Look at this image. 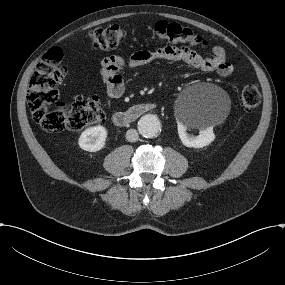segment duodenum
Wrapping results in <instances>:
<instances>
[{"label": "duodenum", "instance_id": "obj_1", "mask_svg": "<svg viewBox=\"0 0 285 285\" xmlns=\"http://www.w3.org/2000/svg\"><path fill=\"white\" fill-rule=\"evenodd\" d=\"M157 108L155 103H137L130 106L127 110L118 111L113 114V123L118 127H126L138 120L144 113Z\"/></svg>", "mask_w": 285, "mask_h": 285}]
</instances>
